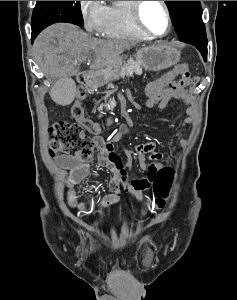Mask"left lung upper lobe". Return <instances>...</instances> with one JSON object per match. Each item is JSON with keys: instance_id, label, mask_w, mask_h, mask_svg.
<instances>
[{"instance_id": "left-lung-upper-lobe-1", "label": "left lung upper lobe", "mask_w": 237, "mask_h": 300, "mask_svg": "<svg viewBox=\"0 0 237 300\" xmlns=\"http://www.w3.org/2000/svg\"><path fill=\"white\" fill-rule=\"evenodd\" d=\"M180 41L194 45L207 57L206 29L200 1H165Z\"/></svg>"}]
</instances>
